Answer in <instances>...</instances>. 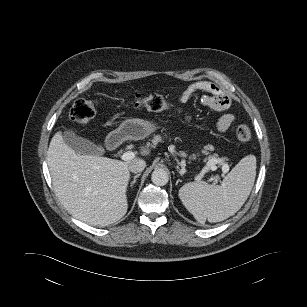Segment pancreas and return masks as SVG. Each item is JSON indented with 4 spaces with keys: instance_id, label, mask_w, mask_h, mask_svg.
<instances>
[{
    "instance_id": "obj_1",
    "label": "pancreas",
    "mask_w": 307,
    "mask_h": 307,
    "mask_svg": "<svg viewBox=\"0 0 307 307\" xmlns=\"http://www.w3.org/2000/svg\"><path fill=\"white\" fill-rule=\"evenodd\" d=\"M161 141H162V138H161L159 135H156V136H154V139L152 140V143H153L154 145H156L158 142H161ZM209 149H210V146H206V147H205V150L203 151V153H204V154H207V153H208L207 150H209ZM180 154H181V156H186V154H185L184 152H181ZM190 158H191V159H194V158H196V156L193 155V156H191ZM214 159L220 160V162L217 163V164H221V165H222V164L224 163V161L226 160L225 158L219 159V158L217 157V155H209V156L206 158V160H207L208 162H210V161H212V160H214Z\"/></svg>"
}]
</instances>
